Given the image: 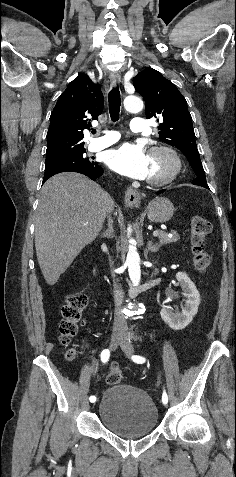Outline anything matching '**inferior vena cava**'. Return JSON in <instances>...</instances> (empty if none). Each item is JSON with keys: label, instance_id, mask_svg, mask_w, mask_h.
Masks as SVG:
<instances>
[{"label": "inferior vena cava", "instance_id": "602c4592", "mask_svg": "<svg viewBox=\"0 0 236 477\" xmlns=\"http://www.w3.org/2000/svg\"><path fill=\"white\" fill-rule=\"evenodd\" d=\"M113 277H115L114 274H113ZM114 284H115V303H116V306H117V313H116V316H115V324L119 325V326H126L127 325L126 320H125L124 316L122 315V313L120 312V306L122 305V302H123L124 293L119 288L116 281H114Z\"/></svg>", "mask_w": 236, "mask_h": 477}]
</instances>
